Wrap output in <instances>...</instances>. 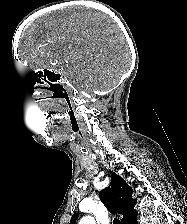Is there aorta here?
<instances>
[{
  "label": "aorta",
  "instance_id": "1",
  "mask_svg": "<svg viewBox=\"0 0 187 224\" xmlns=\"http://www.w3.org/2000/svg\"><path fill=\"white\" fill-rule=\"evenodd\" d=\"M79 224H96L95 223V220H94V218L92 217V216H84L81 220H80V222H79Z\"/></svg>",
  "mask_w": 187,
  "mask_h": 224
}]
</instances>
